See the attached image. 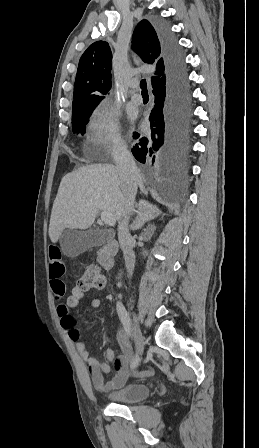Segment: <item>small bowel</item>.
I'll return each instance as SVG.
<instances>
[{"instance_id": "obj_1", "label": "small bowel", "mask_w": 259, "mask_h": 448, "mask_svg": "<svg viewBox=\"0 0 259 448\" xmlns=\"http://www.w3.org/2000/svg\"><path fill=\"white\" fill-rule=\"evenodd\" d=\"M48 258L51 287L55 298L61 299L66 292V285L63 281L65 265L62 261L60 248L56 244H50L48 248ZM80 303H86L92 308H97L100 305V299L95 296H86L77 286H74L66 301L57 306V315L60 320V325L70 339L75 342L76 349L86 365L90 384L99 391L120 388L127 382L130 376L129 366L131 367V358L133 356L132 346L126 334L122 330H119L117 332V341L122 354L115 357L114 351L109 348L105 351V358L107 361H101L94 358L88 351L86 344L79 339V332L75 327L74 318L70 313V309L77 307ZM109 362H113L115 374L109 381H106L104 375L111 372ZM153 374V369H146L135 373V375L140 378L150 377Z\"/></svg>"}]
</instances>
